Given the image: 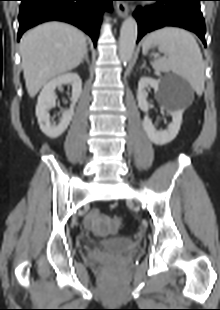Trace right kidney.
Segmentation results:
<instances>
[{"mask_svg":"<svg viewBox=\"0 0 220 310\" xmlns=\"http://www.w3.org/2000/svg\"><path fill=\"white\" fill-rule=\"evenodd\" d=\"M65 84L72 86L71 106L62 113L59 124H52L50 121L49 109L55 105L56 94L55 89ZM82 92V80L77 73H64L51 79L46 83L40 92L36 105V116L41 131L50 138L59 137L70 124L74 115V107Z\"/></svg>","mask_w":220,"mask_h":310,"instance_id":"1","label":"right kidney"}]
</instances>
